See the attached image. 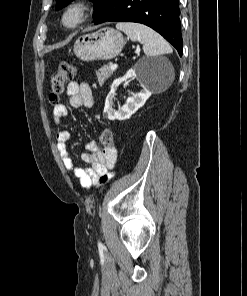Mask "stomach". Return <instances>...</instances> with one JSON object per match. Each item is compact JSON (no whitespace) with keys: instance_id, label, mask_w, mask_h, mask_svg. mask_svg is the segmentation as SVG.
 <instances>
[{"instance_id":"stomach-1","label":"stomach","mask_w":247,"mask_h":296,"mask_svg":"<svg viewBox=\"0 0 247 296\" xmlns=\"http://www.w3.org/2000/svg\"><path fill=\"white\" fill-rule=\"evenodd\" d=\"M125 43L123 35L118 31L102 28L78 37L73 50L82 61L111 60L120 54Z\"/></svg>"}]
</instances>
